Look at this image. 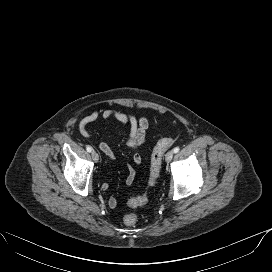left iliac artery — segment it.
<instances>
[{
	"label": "left iliac artery",
	"mask_w": 272,
	"mask_h": 272,
	"mask_svg": "<svg viewBox=\"0 0 272 272\" xmlns=\"http://www.w3.org/2000/svg\"><path fill=\"white\" fill-rule=\"evenodd\" d=\"M179 150H180V148H179V147H175V148L173 149V152H174V153H178V152H179Z\"/></svg>",
	"instance_id": "obj_1"
}]
</instances>
